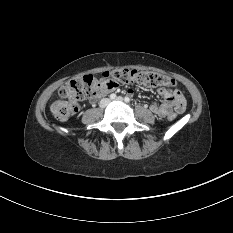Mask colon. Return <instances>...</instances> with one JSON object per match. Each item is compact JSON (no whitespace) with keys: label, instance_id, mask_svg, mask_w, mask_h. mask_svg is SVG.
<instances>
[{"label":"colon","instance_id":"colon-1","mask_svg":"<svg viewBox=\"0 0 233 233\" xmlns=\"http://www.w3.org/2000/svg\"><path fill=\"white\" fill-rule=\"evenodd\" d=\"M103 81L114 83H138L147 86L173 87L174 81L154 71H138L128 68H118L103 74L99 80L92 75H85L65 83L59 90V99L51 104V112L58 120L65 121L79 110L80 101L96 95ZM175 115L169 119H174Z\"/></svg>","mask_w":233,"mask_h":233}]
</instances>
